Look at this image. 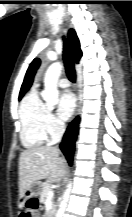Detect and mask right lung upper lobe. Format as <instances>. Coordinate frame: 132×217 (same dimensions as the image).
I'll return each mask as SVG.
<instances>
[{"label": "right lung upper lobe", "instance_id": "right-lung-upper-lobe-1", "mask_svg": "<svg viewBox=\"0 0 132 217\" xmlns=\"http://www.w3.org/2000/svg\"><path fill=\"white\" fill-rule=\"evenodd\" d=\"M69 37V42L75 57L76 62H78L82 56V51L80 49V44L79 40L76 36V33L73 29H71L68 33ZM40 65V60L38 58L34 59L32 63L30 64L27 73L25 75L21 90H20V95L19 99L23 97V95L29 90L32 82H33V77L35 75L36 70L38 69Z\"/></svg>", "mask_w": 132, "mask_h": 217}]
</instances>
